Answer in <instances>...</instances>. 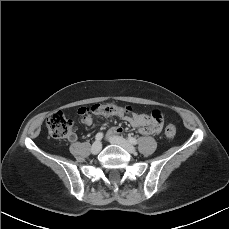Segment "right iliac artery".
<instances>
[{"mask_svg": "<svg viewBox=\"0 0 229 229\" xmlns=\"http://www.w3.org/2000/svg\"><path fill=\"white\" fill-rule=\"evenodd\" d=\"M102 138H103V133H102V132L97 133L96 136H95V139H96L97 141L102 140Z\"/></svg>", "mask_w": 229, "mask_h": 229, "instance_id": "82829eb1", "label": "right iliac artery"}]
</instances>
